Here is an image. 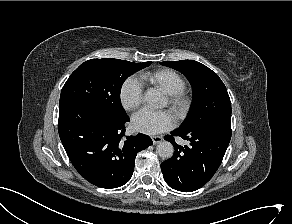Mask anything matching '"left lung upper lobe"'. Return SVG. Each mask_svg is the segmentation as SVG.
<instances>
[{
  "label": "left lung upper lobe",
  "mask_w": 292,
  "mask_h": 224,
  "mask_svg": "<svg viewBox=\"0 0 292 224\" xmlns=\"http://www.w3.org/2000/svg\"><path fill=\"white\" fill-rule=\"evenodd\" d=\"M180 71L189 80L194 102L187 121L179 128L184 132L231 130V102L218 75L193 60L160 62Z\"/></svg>",
  "instance_id": "1"
}]
</instances>
